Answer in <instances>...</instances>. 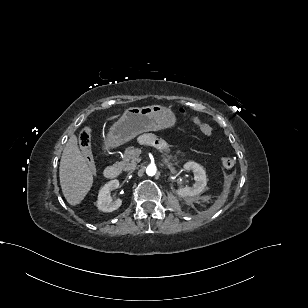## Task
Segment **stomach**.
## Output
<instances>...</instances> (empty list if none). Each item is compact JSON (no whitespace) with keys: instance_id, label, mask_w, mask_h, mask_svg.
<instances>
[{"instance_id":"stomach-1","label":"stomach","mask_w":308,"mask_h":308,"mask_svg":"<svg viewBox=\"0 0 308 308\" xmlns=\"http://www.w3.org/2000/svg\"><path fill=\"white\" fill-rule=\"evenodd\" d=\"M176 124L174 112L161 105L130 107L109 129L107 145L118 147L147 131L171 128Z\"/></svg>"}]
</instances>
